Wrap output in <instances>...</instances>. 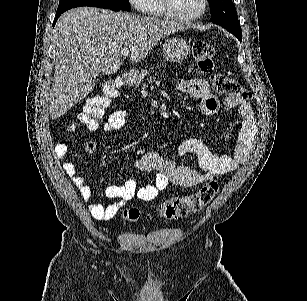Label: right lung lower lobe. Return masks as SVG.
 <instances>
[{"instance_id":"98d812e1","label":"right lung lower lobe","mask_w":307,"mask_h":301,"mask_svg":"<svg viewBox=\"0 0 307 301\" xmlns=\"http://www.w3.org/2000/svg\"><path fill=\"white\" fill-rule=\"evenodd\" d=\"M110 10L118 11V10H115V9H110ZM61 14H62V13H61ZM61 14H57L56 18L54 19L53 26L55 25V23H56L58 17H59Z\"/></svg>"}]
</instances>
